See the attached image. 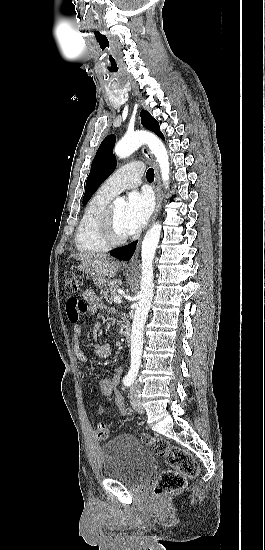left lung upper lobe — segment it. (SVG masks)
<instances>
[{
	"label": "left lung upper lobe",
	"instance_id": "obj_1",
	"mask_svg": "<svg viewBox=\"0 0 265 550\" xmlns=\"http://www.w3.org/2000/svg\"><path fill=\"white\" fill-rule=\"evenodd\" d=\"M141 122L144 127L164 139L163 134L160 132L158 122L150 115L148 111H141ZM114 144L115 136L109 135L102 141L97 150L91 165L90 174L86 181L85 194L83 197L84 205L91 198L100 184L115 170L116 160L113 155Z\"/></svg>",
	"mask_w": 265,
	"mask_h": 550
}]
</instances>
